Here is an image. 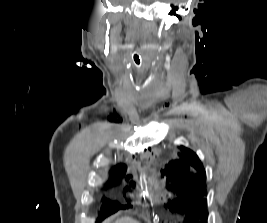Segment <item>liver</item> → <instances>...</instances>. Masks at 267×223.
Here are the masks:
<instances>
[{"label": "liver", "mask_w": 267, "mask_h": 223, "mask_svg": "<svg viewBox=\"0 0 267 223\" xmlns=\"http://www.w3.org/2000/svg\"><path fill=\"white\" fill-rule=\"evenodd\" d=\"M116 223H139V222L130 217H124V218L118 219Z\"/></svg>", "instance_id": "liver-1"}]
</instances>
